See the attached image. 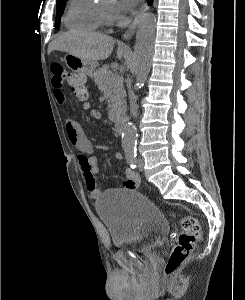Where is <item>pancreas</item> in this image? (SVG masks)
Instances as JSON below:
<instances>
[{
	"label": "pancreas",
	"mask_w": 245,
	"mask_h": 300,
	"mask_svg": "<svg viewBox=\"0 0 245 300\" xmlns=\"http://www.w3.org/2000/svg\"><path fill=\"white\" fill-rule=\"evenodd\" d=\"M94 77L99 90L108 95V115L111 120H115L125 110V90L122 78L109 70L108 66L98 69Z\"/></svg>",
	"instance_id": "obj_1"
}]
</instances>
